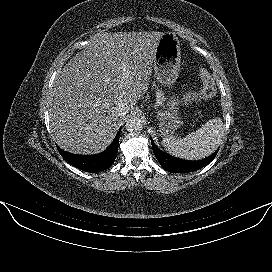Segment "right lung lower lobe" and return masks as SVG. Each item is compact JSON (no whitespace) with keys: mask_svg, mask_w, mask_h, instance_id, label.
Returning a JSON list of instances; mask_svg holds the SVG:
<instances>
[{"mask_svg":"<svg viewBox=\"0 0 272 272\" xmlns=\"http://www.w3.org/2000/svg\"><path fill=\"white\" fill-rule=\"evenodd\" d=\"M120 132L121 129L118 131L116 137L107 150L98 155H76L65 152L58 146L57 149L65 161L70 165L86 172L96 173L109 168L113 164L118 152Z\"/></svg>","mask_w":272,"mask_h":272,"instance_id":"right-lung-lower-lobe-1","label":"right lung lower lobe"}]
</instances>
